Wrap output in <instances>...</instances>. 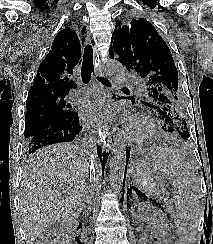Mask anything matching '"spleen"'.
Returning a JSON list of instances; mask_svg holds the SVG:
<instances>
[{
  "label": "spleen",
  "instance_id": "spleen-1",
  "mask_svg": "<svg viewBox=\"0 0 213 244\" xmlns=\"http://www.w3.org/2000/svg\"><path fill=\"white\" fill-rule=\"evenodd\" d=\"M157 166L172 179L175 229L181 244H194L202 216L199 182L191 165L180 155L157 149Z\"/></svg>",
  "mask_w": 213,
  "mask_h": 244
}]
</instances>
